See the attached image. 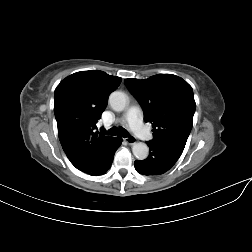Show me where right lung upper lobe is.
I'll return each mask as SVG.
<instances>
[{
    "instance_id": "1",
    "label": "right lung upper lobe",
    "mask_w": 252,
    "mask_h": 252,
    "mask_svg": "<svg viewBox=\"0 0 252 252\" xmlns=\"http://www.w3.org/2000/svg\"><path fill=\"white\" fill-rule=\"evenodd\" d=\"M121 78L103 71L74 73L55 89L54 114L62 148L79 170L95 168L104 158L113 137L95 131L108 96Z\"/></svg>"
}]
</instances>
